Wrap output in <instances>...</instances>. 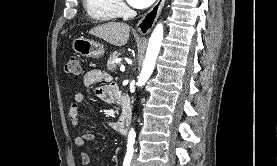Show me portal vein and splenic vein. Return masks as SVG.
Returning <instances> with one entry per match:
<instances>
[{
  "label": "portal vein and splenic vein",
  "instance_id": "portal-vein-and-splenic-vein-1",
  "mask_svg": "<svg viewBox=\"0 0 277 166\" xmlns=\"http://www.w3.org/2000/svg\"><path fill=\"white\" fill-rule=\"evenodd\" d=\"M120 70H121V71H124V70H125V67L122 65V66L120 67Z\"/></svg>",
  "mask_w": 277,
  "mask_h": 166
}]
</instances>
